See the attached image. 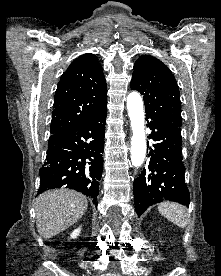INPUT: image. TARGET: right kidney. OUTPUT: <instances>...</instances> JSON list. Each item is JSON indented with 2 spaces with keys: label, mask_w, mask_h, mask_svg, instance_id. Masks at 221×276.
Here are the masks:
<instances>
[{
  "label": "right kidney",
  "mask_w": 221,
  "mask_h": 276,
  "mask_svg": "<svg viewBox=\"0 0 221 276\" xmlns=\"http://www.w3.org/2000/svg\"><path fill=\"white\" fill-rule=\"evenodd\" d=\"M80 232H81V229H80V228L75 229V230L71 233L70 238H71V239H76V238L79 236Z\"/></svg>",
  "instance_id": "1"
}]
</instances>
